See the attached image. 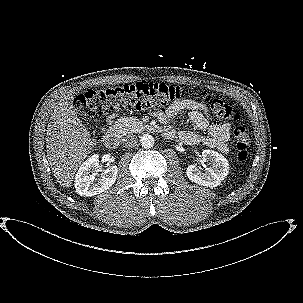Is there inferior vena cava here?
<instances>
[{
  "instance_id": "1",
  "label": "inferior vena cava",
  "mask_w": 303,
  "mask_h": 303,
  "mask_svg": "<svg viewBox=\"0 0 303 303\" xmlns=\"http://www.w3.org/2000/svg\"><path fill=\"white\" fill-rule=\"evenodd\" d=\"M137 144V137L133 134H128L123 139V145L127 148H132Z\"/></svg>"
}]
</instances>
